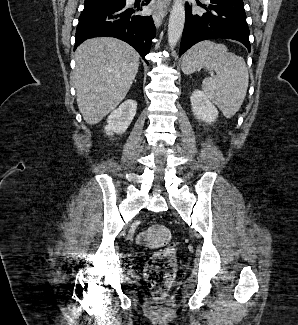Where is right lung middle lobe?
Masks as SVG:
<instances>
[{
	"label": "right lung middle lobe",
	"instance_id": "obj_1",
	"mask_svg": "<svg viewBox=\"0 0 298 325\" xmlns=\"http://www.w3.org/2000/svg\"><path fill=\"white\" fill-rule=\"evenodd\" d=\"M124 0H85L84 7L88 6H103L121 3Z\"/></svg>",
	"mask_w": 298,
	"mask_h": 325
}]
</instances>
